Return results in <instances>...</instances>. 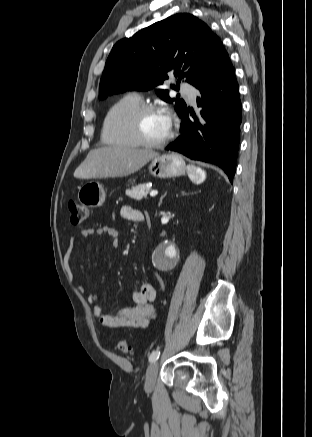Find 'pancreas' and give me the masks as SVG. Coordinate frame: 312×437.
<instances>
[{"instance_id": "cf45deb5", "label": "pancreas", "mask_w": 312, "mask_h": 437, "mask_svg": "<svg viewBox=\"0 0 312 437\" xmlns=\"http://www.w3.org/2000/svg\"><path fill=\"white\" fill-rule=\"evenodd\" d=\"M150 188L146 184H139L132 189L126 190V195L135 200L146 198Z\"/></svg>"}]
</instances>
